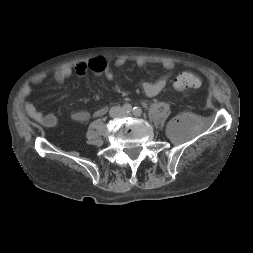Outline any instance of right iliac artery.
Masks as SVG:
<instances>
[{
  "label": "right iliac artery",
  "mask_w": 253,
  "mask_h": 253,
  "mask_svg": "<svg viewBox=\"0 0 253 253\" xmlns=\"http://www.w3.org/2000/svg\"><path fill=\"white\" fill-rule=\"evenodd\" d=\"M123 110H124L125 112H127V113H131V112L133 111V108H132V106H131L130 104H125V105L123 106Z\"/></svg>",
  "instance_id": "1"
}]
</instances>
